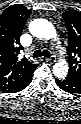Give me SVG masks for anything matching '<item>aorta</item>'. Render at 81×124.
<instances>
[{
	"instance_id": "1",
	"label": "aorta",
	"mask_w": 81,
	"mask_h": 124,
	"mask_svg": "<svg viewBox=\"0 0 81 124\" xmlns=\"http://www.w3.org/2000/svg\"><path fill=\"white\" fill-rule=\"evenodd\" d=\"M30 33L43 39H52L57 36L55 27L45 19H35L29 24ZM53 73L57 78H65L68 73V65L62 60L58 61L53 66Z\"/></svg>"
}]
</instances>
